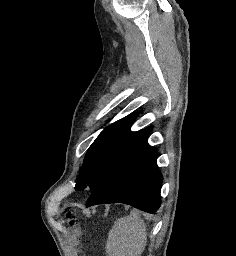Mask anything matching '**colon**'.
Wrapping results in <instances>:
<instances>
[{"mask_svg":"<svg viewBox=\"0 0 236 256\" xmlns=\"http://www.w3.org/2000/svg\"><path fill=\"white\" fill-rule=\"evenodd\" d=\"M65 220L67 221V223L70 227L75 226V221H74L75 220V211H74V209H69L66 211Z\"/></svg>","mask_w":236,"mask_h":256,"instance_id":"1","label":"colon"}]
</instances>
